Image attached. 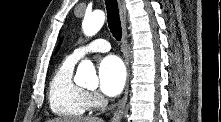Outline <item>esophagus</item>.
I'll return each mask as SVG.
<instances>
[{
    "instance_id": "obj_1",
    "label": "esophagus",
    "mask_w": 221,
    "mask_h": 122,
    "mask_svg": "<svg viewBox=\"0 0 221 122\" xmlns=\"http://www.w3.org/2000/svg\"><path fill=\"white\" fill-rule=\"evenodd\" d=\"M118 4H119L120 20H121V25H122V51H123L124 60H125L126 68H127V81H126L124 96L121 99L111 119V122H120L123 116L127 98H128L129 78H130V54H129L128 45H127V27H126L127 11H126L124 0H118Z\"/></svg>"
}]
</instances>
